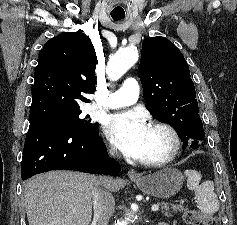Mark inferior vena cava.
Listing matches in <instances>:
<instances>
[{"label": "inferior vena cava", "instance_id": "602c4592", "mask_svg": "<svg viewBox=\"0 0 237 225\" xmlns=\"http://www.w3.org/2000/svg\"><path fill=\"white\" fill-rule=\"evenodd\" d=\"M116 152L111 149V154ZM112 179L107 177L98 178V186L93 191L94 221L96 225H108L109 219L114 212L115 201L111 195Z\"/></svg>", "mask_w": 237, "mask_h": 225}]
</instances>
